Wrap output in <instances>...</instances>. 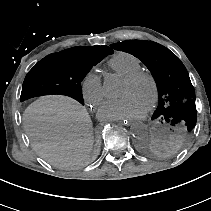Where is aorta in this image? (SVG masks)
I'll use <instances>...</instances> for the list:
<instances>
[{
    "mask_svg": "<svg viewBox=\"0 0 211 211\" xmlns=\"http://www.w3.org/2000/svg\"><path fill=\"white\" fill-rule=\"evenodd\" d=\"M123 90V82L115 76L107 77L103 83V91L107 98H117ZM131 134L136 139H143L148 135L147 126L143 122H135L131 125Z\"/></svg>",
    "mask_w": 211,
    "mask_h": 211,
    "instance_id": "obj_1",
    "label": "aorta"
}]
</instances>
